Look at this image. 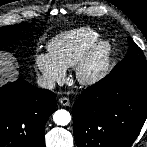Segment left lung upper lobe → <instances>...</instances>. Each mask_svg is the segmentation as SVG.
I'll return each instance as SVG.
<instances>
[{"mask_svg":"<svg viewBox=\"0 0 147 147\" xmlns=\"http://www.w3.org/2000/svg\"><path fill=\"white\" fill-rule=\"evenodd\" d=\"M128 43L129 48L127 54L124 59L113 68V71L136 69L147 73V61L142 50L130 37L128 38Z\"/></svg>","mask_w":147,"mask_h":147,"instance_id":"obj_1","label":"left lung upper lobe"}]
</instances>
